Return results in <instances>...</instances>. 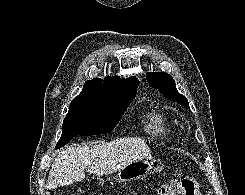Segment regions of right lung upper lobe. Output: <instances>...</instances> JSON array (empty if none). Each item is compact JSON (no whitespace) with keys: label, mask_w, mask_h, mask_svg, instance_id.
<instances>
[{"label":"right lung upper lobe","mask_w":245,"mask_h":195,"mask_svg":"<svg viewBox=\"0 0 245 195\" xmlns=\"http://www.w3.org/2000/svg\"><path fill=\"white\" fill-rule=\"evenodd\" d=\"M138 85L139 81L135 77L126 80L116 76H108L104 80L94 78L85 83L77 97L124 102L135 97Z\"/></svg>","instance_id":"obj_1"}]
</instances>
